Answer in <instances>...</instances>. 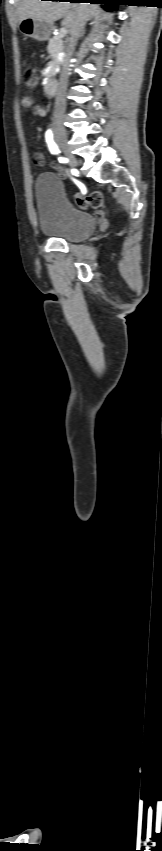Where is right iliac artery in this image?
I'll list each match as a JSON object with an SVG mask.
<instances>
[{
	"label": "right iliac artery",
	"mask_w": 162,
	"mask_h": 851,
	"mask_svg": "<svg viewBox=\"0 0 162 851\" xmlns=\"http://www.w3.org/2000/svg\"><path fill=\"white\" fill-rule=\"evenodd\" d=\"M45 139H46V142L48 144V148H49L50 152L52 154L58 155L60 153V150L53 140V133L50 129L46 131ZM59 161H60V163H65L66 159L63 158V157H59ZM70 182L72 184H74L75 186H77L78 190H81L83 192V196H88V191L85 190V186L83 185V183L81 181L78 183L77 181H74L72 179Z\"/></svg>",
	"instance_id": "right-iliac-artery-1"
}]
</instances>
